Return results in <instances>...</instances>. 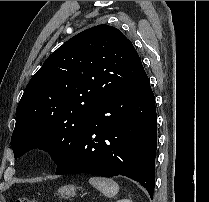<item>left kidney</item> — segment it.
<instances>
[{
    "label": "left kidney",
    "instance_id": "left-kidney-1",
    "mask_svg": "<svg viewBox=\"0 0 209 202\" xmlns=\"http://www.w3.org/2000/svg\"><path fill=\"white\" fill-rule=\"evenodd\" d=\"M116 202H132V201L129 200V199H122V200H118V201H116Z\"/></svg>",
    "mask_w": 209,
    "mask_h": 202
}]
</instances>
